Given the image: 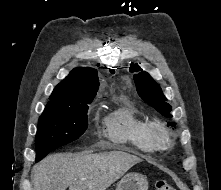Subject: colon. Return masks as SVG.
Wrapping results in <instances>:
<instances>
[{"instance_id": "1", "label": "colon", "mask_w": 221, "mask_h": 190, "mask_svg": "<svg viewBox=\"0 0 221 190\" xmlns=\"http://www.w3.org/2000/svg\"><path fill=\"white\" fill-rule=\"evenodd\" d=\"M154 190H175V188L165 180H158L154 185Z\"/></svg>"}]
</instances>
